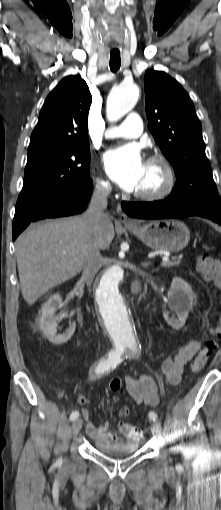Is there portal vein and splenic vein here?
I'll return each instance as SVG.
<instances>
[{
  "label": "portal vein and splenic vein",
  "mask_w": 221,
  "mask_h": 510,
  "mask_svg": "<svg viewBox=\"0 0 221 510\" xmlns=\"http://www.w3.org/2000/svg\"><path fill=\"white\" fill-rule=\"evenodd\" d=\"M173 263H179V261H177V262H173L172 260H169L168 258H165V259H163V261L161 262V266L166 267V266H170V265H172Z\"/></svg>",
  "instance_id": "portal-vein-and-splenic-vein-1"
}]
</instances>
